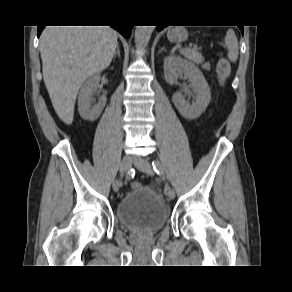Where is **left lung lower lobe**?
Listing matches in <instances>:
<instances>
[{
	"instance_id": "obj_1",
	"label": "left lung lower lobe",
	"mask_w": 292,
	"mask_h": 292,
	"mask_svg": "<svg viewBox=\"0 0 292 292\" xmlns=\"http://www.w3.org/2000/svg\"><path fill=\"white\" fill-rule=\"evenodd\" d=\"M164 27H165L164 25H158V26H157V30L160 31V30H162ZM239 28H240V30H241L242 33H243V27H242V26H239Z\"/></svg>"
}]
</instances>
